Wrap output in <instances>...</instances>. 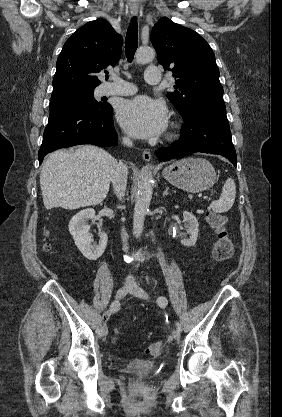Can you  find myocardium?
Here are the masks:
<instances>
[{"label": "myocardium", "instance_id": "f54148a6", "mask_svg": "<svg viewBox=\"0 0 282 417\" xmlns=\"http://www.w3.org/2000/svg\"><path fill=\"white\" fill-rule=\"evenodd\" d=\"M175 135V132L174 131H171L170 133H169V136L170 137H173Z\"/></svg>", "mask_w": 282, "mask_h": 417}]
</instances>
